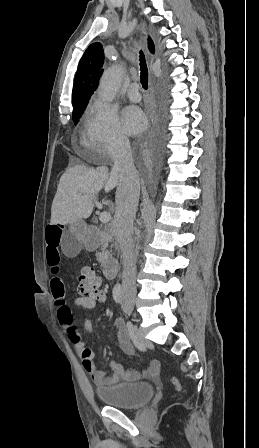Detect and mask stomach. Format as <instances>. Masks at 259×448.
Wrapping results in <instances>:
<instances>
[{
	"instance_id": "0dacf381",
	"label": "stomach",
	"mask_w": 259,
	"mask_h": 448,
	"mask_svg": "<svg viewBox=\"0 0 259 448\" xmlns=\"http://www.w3.org/2000/svg\"><path fill=\"white\" fill-rule=\"evenodd\" d=\"M70 230L72 234L76 236L77 240H80V242H86V240L90 238V230L83 220H79V222H74V224H71Z\"/></svg>"
}]
</instances>
